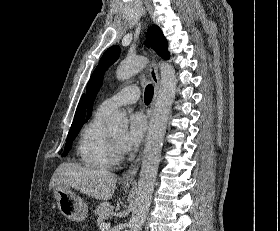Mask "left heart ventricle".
I'll list each match as a JSON object with an SVG mask.
<instances>
[{"label": "left heart ventricle", "instance_id": "left-heart-ventricle-1", "mask_svg": "<svg viewBox=\"0 0 280 231\" xmlns=\"http://www.w3.org/2000/svg\"><path fill=\"white\" fill-rule=\"evenodd\" d=\"M124 131H112L109 132L110 136L112 137V139L115 141V143L117 144L119 138L123 135Z\"/></svg>", "mask_w": 280, "mask_h": 231}]
</instances>
